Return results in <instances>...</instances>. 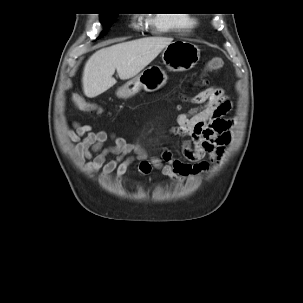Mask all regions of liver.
<instances>
[{
  "label": "liver",
  "mask_w": 303,
  "mask_h": 303,
  "mask_svg": "<svg viewBox=\"0 0 303 303\" xmlns=\"http://www.w3.org/2000/svg\"><path fill=\"white\" fill-rule=\"evenodd\" d=\"M171 42L172 38L146 37L96 51L88 59L83 70L84 94L94 98L115 85V70L121 80L136 76Z\"/></svg>",
  "instance_id": "1"
}]
</instances>
